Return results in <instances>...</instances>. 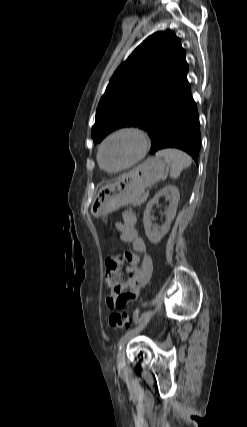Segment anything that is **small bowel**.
<instances>
[{
    "label": "small bowel",
    "mask_w": 247,
    "mask_h": 427,
    "mask_svg": "<svg viewBox=\"0 0 247 427\" xmlns=\"http://www.w3.org/2000/svg\"><path fill=\"white\" fill-rule=\"evenodd\" d=\"M136 216L129 211L122 214V220L116 224L123 242L130 243L133 252H126L124 259L127 266L128 277L125 281L113 288L106 299L110 309L123 308L134 301L139 290L150 280L153 272V259L144 240L139 236L136 228Z\"/></svg>",
    "instance_id": "obj_1"
}]
</instances>
